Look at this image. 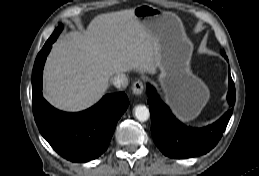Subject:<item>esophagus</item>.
Returning <instances> with one entry per match:
<instances>
[{
	"instance_id": "esophagus-1",
	"label": "esophagus",
	"mask_w": 259,
	"mask_h": 176,
	"mask_svg": "<svg viewBox=\"0 0 259 176\" xmlns=\"http://www.w3.org/2000/svg\"><path fill=\"white\" fill-rule=\"evenodd\" d=\"M144 90V84L142 81L137 80L134 82L133 87H132V92L135 95H141Z\"/></svg>"
}]
</instances>
